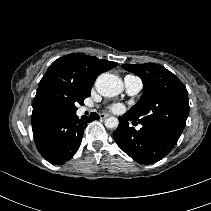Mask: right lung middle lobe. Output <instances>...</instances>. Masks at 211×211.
Returning a JSON list of instances; mask_svg holds the SVG:
<instances>
[{
    "label": "right lung middle lobe",
    "instance_id": "obj_1",
    "mask_svg": "<svg viewBox=\"0 0 211 211\" xmlns=\"http://www.w3.org/2000/svg\"><path fill=\"white\" fill-rule=\"evenodd\" d=\"M90 96V91H80L77 89H67L53 95L50 99V107L55 117H62L76 113V105L83 104L86 97Z\"/></svg>",
    "mask_w": 211,
    "mask_h": 211
}]
</instances>
